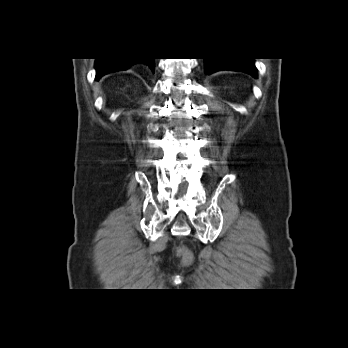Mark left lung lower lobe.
Listing matches in <instances>:
<instances>
[{"label": "left lung lower lobe", "instance_id": "1", "mask_svg": "<svg viewBox=\"0 0 348 348\" xmlns=\"http://www.w3.org/2000/svg\"><path fill=\"white\" fill-rule=\"evenodd\" d=\"M206 74L219 70H234L256 77V68L251 58H205Z\"/></svg>", "mask_w": 348, "mask_h": 348}]
</instances>
